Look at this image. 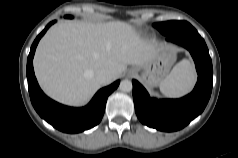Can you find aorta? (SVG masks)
Wrapping results in <instances>:
<instances>
[{
  "instance_id": "762f6f07",
  "label": "aorta",
  "mask_w": 238,
  "mask_h": 158,
  "mask_svg": "<svg viewBox=\"0 0 238 158\" xmlns=\"http://www.w3.org/2000/svg\"><path fill=\"white\" fill-rule=\"evenodd\" d=\"M132 82L130 80H123L121 81L119 88L123 92H130L132 90Z\"/></svg>"
}]
</instances>
